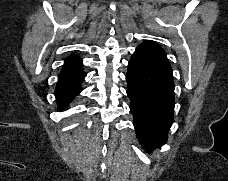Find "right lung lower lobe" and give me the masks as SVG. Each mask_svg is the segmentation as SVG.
Instances as JSON below:
<instances>
[{
	"mask_svg": "<svg viewBox=\"0 0 228 181\" xmlns=\"http://www.w3.org/2000/svg\"><path fill=\"white\" fill-rule=\"evenodd\" d=\"M81 63L82 61L78 57L66 58L55 89V97L60 110L81 92L80 83L86 76L85 72L81 70Z\"/></svg>",
	"mask_w": 228,
	"mask_h": 181,
	"instance_id": "right-lung-lower-lobe-1",
	"label": "right lung lower lobe"
}]
</instances>
